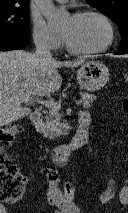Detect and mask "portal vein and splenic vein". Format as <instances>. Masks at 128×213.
<instances>
[{
  "mask_svg": "<svg viewBox=\"0 0 128 213\" xmlns=\"http://www.w3.org/2000/svg\"><path fill=\"white\" fill-rule=\"evenodd\" d=\"M28 101H34V102H38L42 105H45L46 107H49L51 109H57L59 110L61 108V105L60 103L56 102V101H53V100H43V99H29ZM80 101H76V104H79Z\"/></svg>",
  "mask_w": 128,
  "mask_h": 213,
  "instance_id": "1",
  "label": "portal vein and splenic vein"
}]
</instances>
